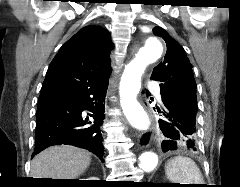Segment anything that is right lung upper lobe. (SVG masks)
Returning a JSON list of instances; mask_svg holds the SVG:
<instances>
[{"instance_id": "right-lung-upper-lobe-1", "label": "right lung upper lobe", "mask_w": 240, "mask_h": 187, "mask_svg": "<svg viewBox=\"0 0 240 187\" xmlns=\"http://www.w3.org/2000/svg\"><path fill=\"white\" fill-rule=\"evenodd\" d=\"M110 34L100 26H86L71 37L48 67L39 101L81 90L108 79L111 73Z\"/></svg>"}]
</instances>
